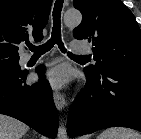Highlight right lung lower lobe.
<instances>
[{
	"label": "right lung lower lobe",
	"instance_id": "98d812e1",
	"mask_svg": "<svg viewBox=\"0 0 141 139\" xmlns=\"http://www.w3.org/2000/svg\"><path fill=\"white\" fill-rule=\"evenodd\" d=\"M37 72L42 75V68ZM27 71L0 73V114L14 117L40 134L55 138L58 113L51 87L41 78L33 85L26 84Z\"/></svg>",
	"mask_w": 141,
	"mask_h": 139
}]
</instances>
